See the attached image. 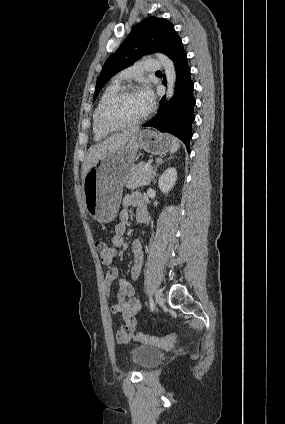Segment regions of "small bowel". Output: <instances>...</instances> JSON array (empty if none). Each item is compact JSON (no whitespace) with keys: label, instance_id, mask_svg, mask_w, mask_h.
I'll return each mask as SVG.
<instances>
[{"label":"small bowel","instance_id":"obj_1","mask_svg":"<svg viewBox=\"0 0 285 424\" xmlns=\"http://www.w3.org/2000/svg\"><path fill=\"white\" fill-rule=\"evenodd\" d=\"M136 208V219L140 224L148 221L149 215L146 209L145 198L141 192L135 191L126 194L122 200V210L119 214V222L115 225V234L112 237V245L116 248H121L124 245V234L126 224L130 217V209ZM131 249L134 256V263L131 267V278L137 280L140 277L141 269L144 261V251L142 242L138 239L131 244ZM119 277V271L116 267L109 268L103 280V294L106 299L111 296L112 283ZM117 303L109 307L111 315H120L123 320V325L114 333L115 340L124 344L129 342L137 329L136 316L141 310V302L135 297V289L131 283L125 279H118V294Z\"/></svg>","mask_w":285,"mask_h":424}]
</instances>
